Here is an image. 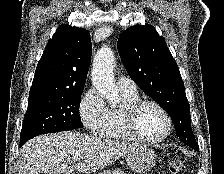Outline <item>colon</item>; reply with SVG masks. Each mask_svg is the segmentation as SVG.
<instances>
[{
  "instance_id": "1",
  "label": "colon",
  "mask_w": 224,
  "mask_h": 174,
  "mask_svg": "<svg viewBox=\"0 0 224 174\" xmlns=\"http://www.w3.org/2000/svg\"><path fill=\"white\" fill-rule=\"evenodd\" d=\"M184 162L180 159H172L169 163V169L173 174H179L184 171Z\"/></svg>"
}]
</instances>
